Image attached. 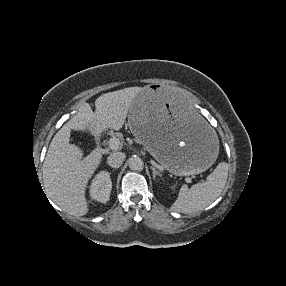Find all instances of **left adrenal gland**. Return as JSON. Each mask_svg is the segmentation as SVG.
<instances>
[{"mask_svg":"<svg viewBox=\"0 0 286 286\" xmlns=\"http://www.w3.org/2000/svg\"><path fill=\"white\" fill-rule=\"evenodd\" d=\"M151 169L153 171V179L154 180L156 179V176H160V177L162 176V174L159 171H157L155 167L151 166Z\"/></svg>","mask_w":286,"mask_h":286,"instance_id":"a2214340","label":"left adrenal gland"}]
</instances>
